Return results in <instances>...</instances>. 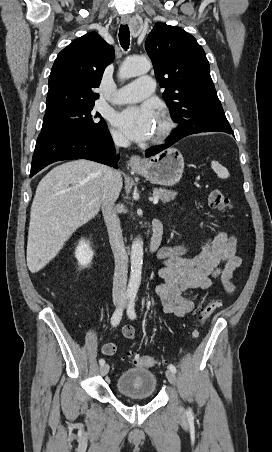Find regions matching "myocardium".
I'll return each instance as SVG.
<instances>
[{
    "label": "myocardium",
    "instance_id": "f54148a6",
    "mask_svg": "<svg viewBox=\"0 0 272 452\" xmlns=\"http://www.w3.org/2000/svg\"><path fill=\"white\" fill-rule=\"evenodd\" d=\"M174 128V123L172 121V119L166 115V114H162L161 115V128L159 130V132L154 135L152 142L153 143H159L162 142L163 140H165L173 131Z\"/></svg>",
    "mask_w": 272,
    "mask_h": 452
}]
</instances>
